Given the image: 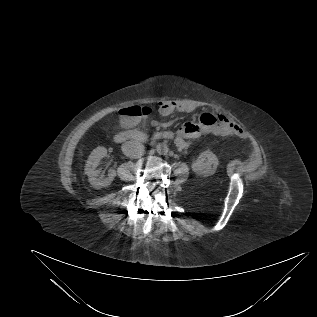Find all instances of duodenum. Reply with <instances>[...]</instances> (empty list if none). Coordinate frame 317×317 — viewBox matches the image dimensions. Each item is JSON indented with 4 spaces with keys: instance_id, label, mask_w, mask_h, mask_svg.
I'll use <instances>...</instances> for the list:
<instances>
[{
    "instance_id": "duodenum-1",
    "label": "duodenum",
    "mask_w": 317,
    "mask_h": 317,
    "mask_svg": "<svg viewBox=\"0 0 317 317\" xmlns=\"http://www.w3.org/2000/svg\"><path fill=\"white\" fill-rule=\"evenodd\" d=\"M174 134L172 131H158L153 135V140H171ZM114 139L118 143L124 142H140L144 143L148 140V136L138 130L119 131L115 134Z\"/></svg>"
}]
</instances>
